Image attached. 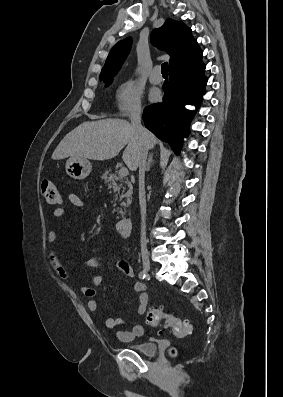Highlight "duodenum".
Returning a JSON list of instances; mask_svg holds the SVG:
<instances>
[{"mask_svg":"<svg viewBox=\"0 0 283 397\" xmlns=\"http://www.w3.org/2000/svg\"><path fill=\"white\" fill-rule=\"evenodd\" d=\"M117 232L123 236H129L132 229V220L129 216L122 217L116 223Z\"/></svg>","mask_w":283,"mask_h":397,"instance_id":"obj_1","label":"duodenum"}]
</instances>
